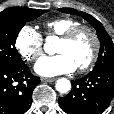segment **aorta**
Masks as SVG:
<instances>
[{
  "instance_id": "aorta-1",
  "label": "aorta",
  "mask_w": 114,
  "mask_h": 114,
  "mask_svg": "<svg viewBox=\"0 0 114 114\" xmlns=\"http://www.w3.org/2000/svg\"><path fill=\"white\" fill-rule=\"evenodd\" d=\"M52 47V40L48 39L45 44V51L49 52V49ZM71 89V83L66 78H61L56 83V90L60 93H67Z\"/></svg>"
}]
</instances>
